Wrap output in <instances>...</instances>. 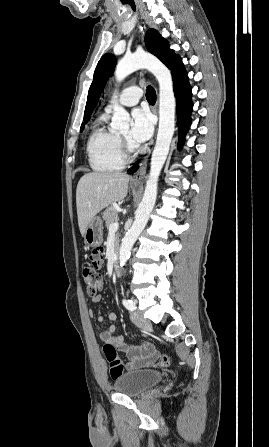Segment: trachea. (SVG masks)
Masks as SVG:
<instances>
[{
    "label": "trachea",
    "instance_id": "1",
    "mask_svg": "<svg viewBox=\"0 0 269 447\" xmlns=\"http://www.w3.org/2000/svg\"><path fill=\"white\" fill-rule=\"evenodd\" d=\"M146 98L151 105L156 102V92L153 87L148 86L146 89Z\"/></svg>",
    "mask_w": 269,
    "mask_h": 447
}]
</instances>
